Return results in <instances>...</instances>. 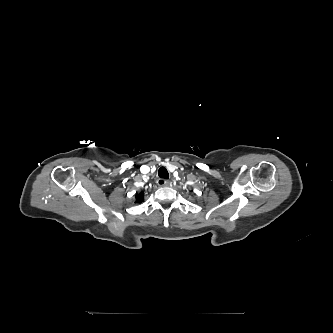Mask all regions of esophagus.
Masks as SVG:
<instances>
[{"label": "esophagus", "instance_id": "obj_1", "mask_svg": "<svg viewBox=\"0 0 333 333\" xmlns=\"http://www.w3.org/2000/svg\"><path fill=\"white\" fill-rule=\"evenodd\" d=\"M157 185L158 186H168L169 185V181L163 178H159L157 180Z\"/></svg>", "mask_w": 333, "mask_h": 333}]
</instances>
